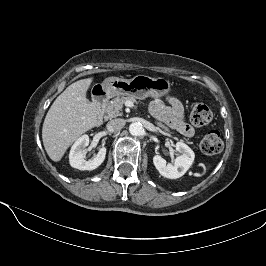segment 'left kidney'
Masks as SVG:
<instances>
[{"instance_id":"1","label":"left kidney","mask_w":266,"mask_h":266,"mask_svg":"<svg viewBox=\"0 0 266 266\" xmlns=\"http://www.w3.org/2000/svg\"><path fill=\"white\" fill-rule=\"evenodd\" d=\"M175 148L180 154L176 157L174 165L167 164L166 160L160 155H155L153 157V163L158 172L169 179H177L183 176L191 167L195 158L194 152L185 143L177 142Z\"/></svg>"}]
</instances>
